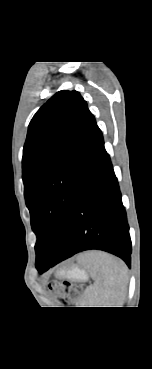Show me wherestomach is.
I'll use <instances>...</instances> for the list:
<instances>
[{"instance_id":"1","label":"stomach","mask_w":152,"mask_h":369,"mask_svg":"<svg viewBox=\"0 0 152 369\" xmlns=\"http://www.w3.org/2000/svg\"><path fill=\"white\" fill-rule=\"evenodd\" d=\"M69 277L75 281L85 280L87 278L85 271L78 267L71 269V271L69 272Z\"/></svg>"}]
</instances>
